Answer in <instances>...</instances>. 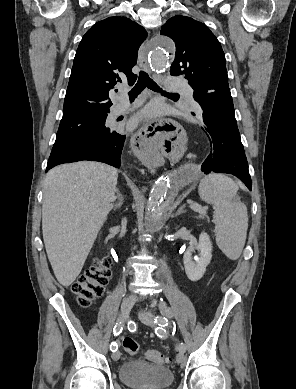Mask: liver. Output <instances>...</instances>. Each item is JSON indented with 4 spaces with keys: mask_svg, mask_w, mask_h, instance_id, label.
I'll use <instances>...</instances> for the list:
<instances>
[{
    "mask_svg": "<svg viewBox=\"0 0 296 389\" xmlns=\"http://www.w3.org/2000/svg\"><path fill=\"white\" fill-rule=\"evenodd\" d=\"M118 172L82 161L50 170L44 183L42 232L54 274L65 287L80 274L115 201Z\"/></svg>",
    "mask_w": 296,
    "mask_h": 389,
    "instance_id": "liver-1",
    "label": "liver"
}]
</instances>
